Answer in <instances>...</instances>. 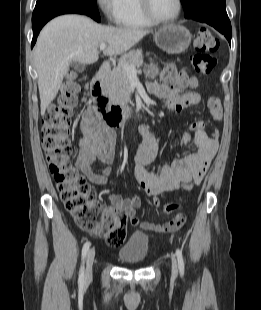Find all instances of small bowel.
<instances>
[{"instance_id":"obj_1","label":"small bowel","mask_w":261,"mask_h":310,"mask_svg":"<svg viewBox=\"0 0 261 310\" xmlns=\"http://www.w3.org/2000/svg\"><path fill=\"white\" fill-rule=\"evenodd\" d=\"M147 88L152 94L165 100L167 107L172 110L179 111L201 101L200 93L189 86L170 87L154 80L148 83ZM90 111L91 107H87L83 112V122L80 125L82 138L79 141L76 168L91 183L104 185L113 170L115 135L109 130H96L88 121ZM190 130L193 134L184 133L182 143L187 145L193 140L196 152L176 159L170 165H162L157 171H149L146 166L158 154L160 136L148 125L141 127L143 140L136 148L134 175L143 192L155 198L156 205L157 196L161 193L176 190L186 181L200 183L217 152L218 137L208 136L202 122H194ZM98 163L101 164L100 168H97ZM109 200L112 206L104 210V216L124 213L132 226L152 228V225L142 223L136 214V208L141 204L139 196L123 198L118 194H110Z\"/></svg>"}]
</instances>
